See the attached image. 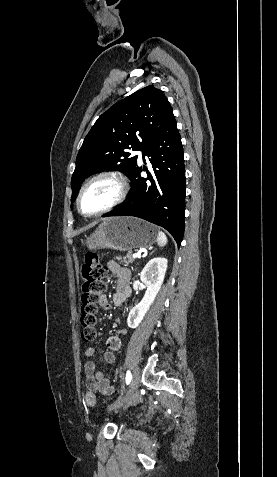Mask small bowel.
Here are the masks:
<instances>
[{
    "instance_id": "small-bowel-1",
    "label": "small bowel",
    "mask_w": 277,
    "mask_h": 477,
    "mask_svg": "<svg viewBox=\"0 0 277 477\" xmlns=\"http://www.w3.org/2000/svg\"><path fill=\"white\" fill-rule=\"evenodd\" d=\"M106 268L111 274L117 277L116 289L113 294V303L115 305H121L126 301L131 291L130 271L115 261L107 262ZM100 305L103 310H109L111 308V304L106 297H103ZM125 334V329H119L115 334L107 338L106 345L108 350L103 355L106 363H115V352L121 348V336ZM84 354L86 358H90L95 354V349L87 348ZM84 370L86 375V386L91 392L100 393L103 395H109L113 393L114 386L110 379L103 372L96 370V364L92 360H87L84 363Z\"/></svg>"
}]
</instances>
